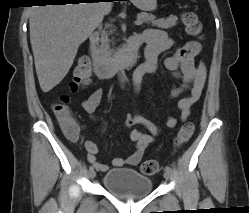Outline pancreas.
Instances as JSON below:
<instances>
[{"mask_svg":"<svg viewBox=\"0 0 249 213\" xmlns=\"http://www.w3.org/2000/svg\"><path fill=\"white\" fill-rule=\"evenodd\" d=\"M138 17L143 20V22L151 23L152 26H157L162 29H168L177 24L178 18L176 16L171 15L167 19H156L155 16L147 14V13H139ZM113 34L112 29L105 28L101 31L100 35V47L99 51L104 58L112 59L114 56V50L110 46V42L114 43L113 40L109 39V35Z\"/></svg>","mask_w":249,"mask_h":213,"instance_id":"1","label":"pancreas"}]
</instances>
